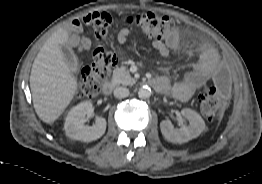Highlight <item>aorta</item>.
<instances>
[{"label":"aorta","mask_w":262,"mask_h":184,"mask_svg":"<svg viewBox=\"0 0 262 184\" xmlns=\"http://www.w3.org/2000/svg\"><path fill=\"white\" fill-rule=\"evenodd\" d=\"M138 96L142 99H147L151 96V89L148 86H143L138 91Z\"/></svg>","instance_id":"aorta-1"}]
</instances>
